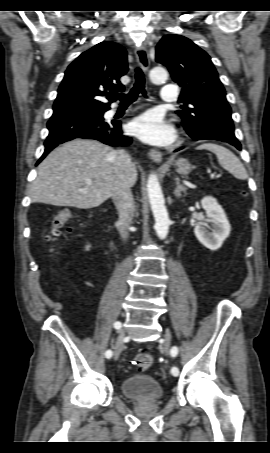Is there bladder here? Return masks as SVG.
Wrapping results in <instances>:
<instances>
[{
	"instance_id": "bladder-1",
	"label": "bladder",
	"mask_w": 270,
	"mask_h": 453,
	"mask_svg": "<svg viewBox=\"0 0 270 453\" xmlns=\"http://www.w3.org/2000/svg\"><path fill=\"white\" fill-rule=\"evenodd\" d=\"M121 391L126 398L133 400H159L164 395L163 386L151 375L136 373L125 378Z\"/></svg>"
}]
</instances>
